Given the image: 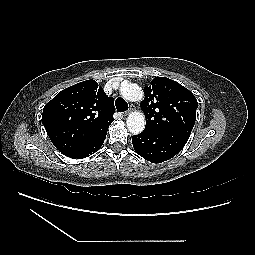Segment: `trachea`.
Returning <instances> with one entry per match:
<instances>
[{"label":"trachea","mask_w":255,"mask_h":255,"mask_svg":"<svg viewBox=\"0 0 255 255\" xmlns=\"http://www.w3.org/2000/svg\"><path fill=\"white\" fill-rule=\"evenodd\" d=\"M115 105L118 112H125L128 110V104L122 98H117L115 101Z\"/></svg>","instance_id":"3493384b"}]
</instances>
